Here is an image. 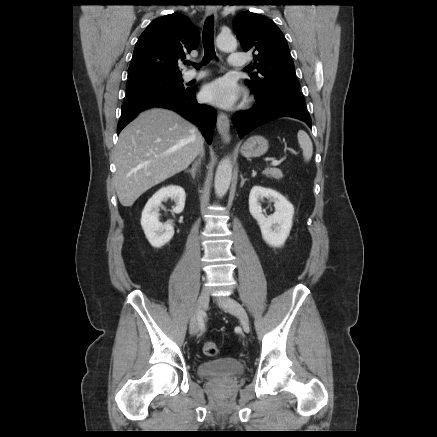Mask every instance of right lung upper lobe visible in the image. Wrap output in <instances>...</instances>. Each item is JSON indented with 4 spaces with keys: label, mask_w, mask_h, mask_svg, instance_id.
<instances>
[{
    "label": "right lung upper lobe",
    "mask_w": 437,
    "mask_h": 437,
    "mask_svg": "<svg viewBox=\"0 0 437 437\" xmlns=\"http://www.w3.org/2000/svg\"><path fill=\"white\" fill-rule=\"evenodd\" d=\"M199 44V31L190 19L173 13L153 20L139 37L128 77L139 75H182L178 61Z\"/></svg>",
    "instance_id": "cb5924a9"
}]
</instances>
